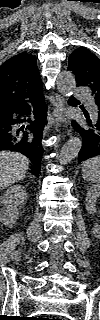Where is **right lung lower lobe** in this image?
Masks as SVG:
<instances>
[{"label":"right lung lower lobe","instance_id":"1","mask_svg":"<svg viewBox=\"0 0 100 320\" xmlns=\"http://www.w3.org/2000/svg\"><path fill=\"white\" fill-rule=\"evenodd\" d=\"M47 107L43 93L0 117V151L11 150L24 154L33 163L31 173L39 176L41 167L42 129L46 123ZM21 116H29L21 119ZM26 123L21 128L15 125Z\"/></svg>","mask_w":100,"mask_h":320}]
</instances>
